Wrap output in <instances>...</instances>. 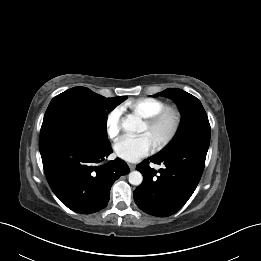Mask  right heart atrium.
Masks as SVG:
<instances>
[{
	"label": "right heart atrium",
	"mask_w": 261,
	"mask_h": 261,
	"mask_svg": "<svg viewBox=\"0 0 261 261\" xmlns=\"http://www.w3.org/2000/svg\"><path fill=\"white\" fill-rule=\"evenodd\" d=\"M123 125V110L120 107L112 109L106 116L105 128L108 136L113 139L118 136Z\"/></svg>",
	"instance_id": "d8ad5b80"
}]
</instances>
